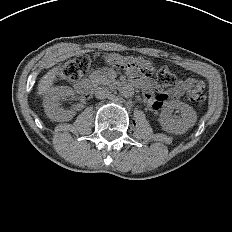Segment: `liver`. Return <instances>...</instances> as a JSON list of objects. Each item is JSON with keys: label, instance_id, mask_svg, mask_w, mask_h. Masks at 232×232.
<instances>
[{"label": "liver", "instance_id": "obj_1", "mask_svg": "<svg viewBox=\"0 0 232 232\" xmlns=\"http://www.w3.org/2000/svg\"><path fill=\"white\" fill-rule=\"evenodd\" d=\"M58 71H59V67L53 68L40 79L38 86H37L38 95L41 96L48 92V90L53 85L56 79Z\"/></svg>", "mask_w": 232, "mask_h": 232}]
</instances>
